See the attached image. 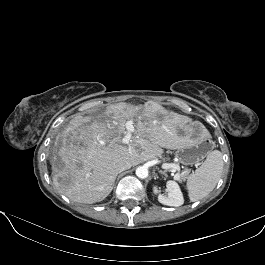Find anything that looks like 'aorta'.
I'll use <instances>...</instances> for the list:
<instances>
[{
	"instance_id": "aorta-1",
	"label": "aorta",
	"mask_w": 265,
	"mask_h": 265,
	"mask_svg": "<svg viewBox=\"0 0 265 265\" xmlns=\"http://www.w3.org/2000/svg\"><path fill=\"white\" fill-rule=\"evenodd\" d=\"M136 175L138 178L145 179L148 177V168L145 166H139L136 169Z\"/></svg>"
}]
</instances>
